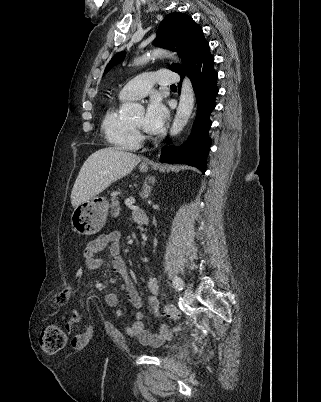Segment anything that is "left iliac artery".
<instances>
[{
	"label": "left iliac artery",
	"mask_w": 321,
	"mask_h": 402,
	"mask_svg": "<svg viewBox=\"0 0 321 402\" xmlns=\"http://www.w3.org/2000/svg\"><path fill=\"white\" fill-rule=\"evenodd\" d=\"M173 285H174V287H175L176 290H178V291L183 290V286H184L183 281H182L181 278H179V277H177V276L174 277Z\"/></svg>",
	"instance_id": "1"
}]
</instances>
